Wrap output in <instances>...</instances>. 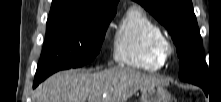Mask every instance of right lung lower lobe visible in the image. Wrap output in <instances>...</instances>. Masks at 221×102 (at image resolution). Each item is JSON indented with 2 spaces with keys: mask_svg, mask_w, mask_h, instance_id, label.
<instances>
[{
  "mask_svg": "<svg viewBox=\"0 0 221 102\" xmlns=\"http://www.w3.org/2000/svg\"><path fill=\"white\" fill-rule=\"evenodd\" d=\"M40 82H42V81L41 80H34L33 87L35 88Z\"/></svg>",
  "mask_w": 221,
  "mask_h": 102,
  "instance_id": "1",
  "label": "right lung lower lobe"
}]
</instances>
